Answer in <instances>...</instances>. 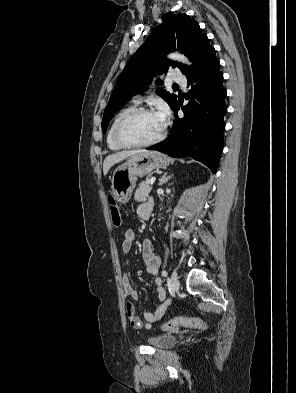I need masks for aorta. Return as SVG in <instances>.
Listing matches in <instances>:
<instances>
[{
  "mask_svg": "<svg viewBox=\"0 0 296 393\" xmlns=\"http://www.w3.org/2000/svg\"><path fill=\"white\" fill-rule=\"evenodd\" d=\"M169 58L189 64L188 59L184 55H181V54L172 53L169 55Z\"/></svg>",
  "mask_w": 296,
  "mask_h": 393,
  "instance_id": "762f6f07",
  "label": "aorta"
}]
</instances>
